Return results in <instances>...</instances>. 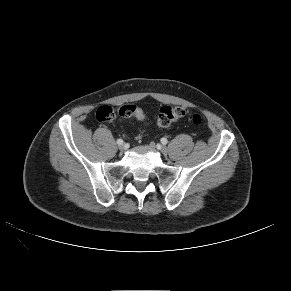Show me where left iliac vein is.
<instances>
[{
    "label": "left iliac vein",
    "instance_id": "4c4485c4",
    "mask_svg": "<svg viewBox=\"0 0 291 291\" xmlns=\"http://www.w3.org/2000/svg\"><path fill=\"white\" fill-rule=\"evenodd\" d=\"M151 147L153 148V147H155V145L152 143V144H151ZM159 150H160V152H161L163 155H166V154H167V148H166V147L161 146V147L159 148Z\"/></svg>",
    "mask_w": 291,
    "mask_h": 291
}]
</instances>
